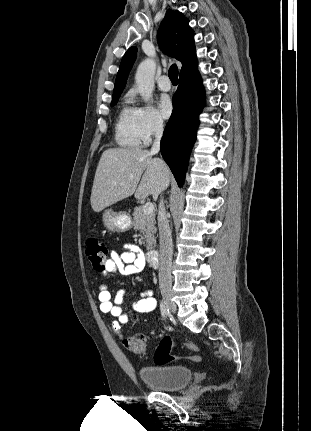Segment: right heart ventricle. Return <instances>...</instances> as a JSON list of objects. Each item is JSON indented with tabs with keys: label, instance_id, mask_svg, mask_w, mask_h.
Masks as SVG:
<instances>
[{
	"label": "right heart ventricle",
	"instance_id": "e07e8e85",
	"mask_svg": "<svg viewBox=\"0 0 311 431\" xmlns=\"http://www.w3.org/2000/svg\"><path fill=\"white\" fill-rule=\"evenodd\" d=\"M143 129L135 108L123 105L117 115L114 138L118 146L137 149L143 141Z\"/></svg>",
	"mask_w": 311,
	"mask_h": 431
}]
</instances>
